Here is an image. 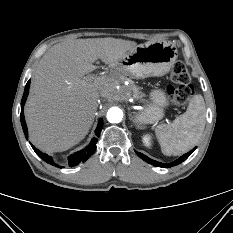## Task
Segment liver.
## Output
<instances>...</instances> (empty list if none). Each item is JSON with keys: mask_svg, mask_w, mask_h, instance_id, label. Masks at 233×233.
Here are the masks:
<instances>
[{"mask_svg": "<svg viewBox=\"0 0 233 233\" xmlns=\"http://www.w3.org/2000/svg\"><path fill=\"white\" fill-rule=\"evenodd\" d=\"M137 43L116 38L66 40L43 55L25 105L30 141L44 152H62L79 143L93 124L99 97L111 79L85 76L101 59L114 65Z\"/></svg>", "mask_w": 233, "mask_h": 233, "instance_id": "1", "label": "liver"}]
</instances>
